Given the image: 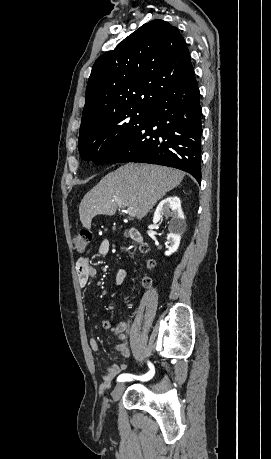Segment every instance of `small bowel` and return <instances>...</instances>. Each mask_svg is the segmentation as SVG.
Returning a JSON list of instances; mask_svg holds the SVG:
<instances>
[{"mask_svg":"<svg viewBox=\"0 0 271 459\" xmlns=\"http://www.w3.org/2000/svg\"><path fill=\"white\" fill-rule=\"evenodd\" d=\"M110 251V242L107 239H102L98 246H97V254L100 256H106ZM76 273L79 281V285L81 288H85L88 284L90 278L96 275V269L91 264V259L89 256H82L76 262ZM126 276L125 270H120L116 274L115 283L117 285L122 284L124 278ZM129 323L128 322H120L117 324L116 328L114 329V333L117 336L119 342L115 345L116 351H118L123 357L130 356V348H129V337H128V330H129ZM102 327L104 329L111 328V320L105 319L102 322ZM89 345L92 351L99 350V344L97 340L91 339L89 341ZM127 365L125 363L122 364H113L110 368L106 370L103 375V384L101 385L100 392H106L113 380L123 371L125 370Z\"/></svg>","mask_w":271,"mask_h":459,"instance_id":"obj_1","label":"small bowel"}]
</instances>
